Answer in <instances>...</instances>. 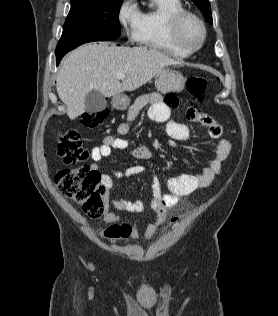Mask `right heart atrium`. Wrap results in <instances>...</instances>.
Wrapping results in <instances>:
<instances>
[{"label": "right heart atrium", "mask_w": 278, "mask_h": 316, "mask_svg": "<svg viewBox=\"0 0 278 316\" xmlns=\"http://www.w3.org/2000/svg\"><path fill=\"white\" fill-rule=\"evenodd\" d=\"M141 19V11L135 0H122L118 11L117 20L123 34L130 41H136Z\"/></svg>", "instance_id": "right-heart-atrium-1"}]
</instances>
